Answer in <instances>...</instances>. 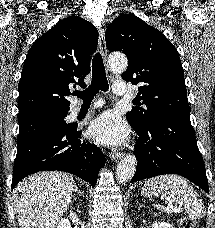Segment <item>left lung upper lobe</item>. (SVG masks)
<instances>
[{
  "label": "left lung upper lobe",
  "mask_w": 215,
  "mask_h": 228,
  "mask_svg": "<svg viewBox=\"0 0 215 228\" xmlns=\"http://www.w3.org/2000/svg\"><path fill=\"white\" fill-rule=\"evenodd\" d=\"M105 40L109 51H122L128 58L122 78L141 84L136 99L146 108L126 113L136 132L160 116L190 114L180 57L159 30L133 14H122L107 27Z\"/></svg>",
  "instance_id": "1"
}]
</instances>
